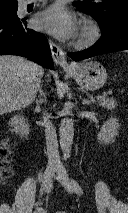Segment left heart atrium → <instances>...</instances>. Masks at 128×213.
Segmentation results:
<instances>
[{
	"mask_svg": "<svg viewBox=\"0 0 128 213\" xmlns=\"http://www.w3.org/2000/svg\"><path fill=\"white\" fill-rule=\"evenodd\" d=\"M35 26L62 40L71 39L77 33L74 15L62 4H54L40 12L35 18Z\"/></svg>",
	"mask_w": 128,
	"mask_h": 213,
	"instance_id": "left-heart-atrium-1",
	"label": "left heart atrium"
}]
</instances>
